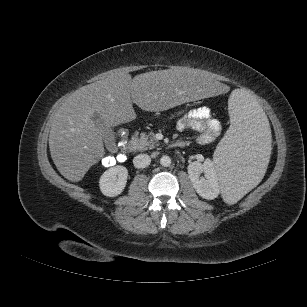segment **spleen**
Segmentation results:
<instances>
[{
    "label": "spleen",
    "mask_w": 307,
    "mask_h": 307,
    "mask_svg": "<svg viewBox=\"0 0 307 307\" xmlns=\"http://www.w3.org/2000/svg\"><path fill=\"white\" fill-rule=\"evenodd\" d=\"M231 125L214 153L222 198L233 205L268 171L271 162L269 122L247 92L234 90L228 100Z\"/></svg>",
    "instance_id": "3e777b00"
}]
</instances>
